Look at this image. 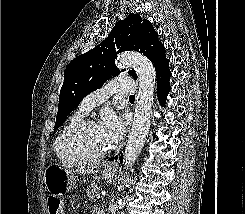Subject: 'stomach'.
<instances>
[{
	"instance_id": "obj_1",
	"label": "stomach",
	"mask_w": 245,
	"mask_h": 214,
	"mask_svg": "<svg viewBox=\"0 0 245 214\" xmlns=\"http://www.w3.org/2000/svg\"><path fill=\"white\" fill-rule=\"evenodd\" d=\"M105 180L116 181L118 172L116 170L105 169L103 171ZM44 183L46 189L55 196L62 195L70 191L76 184V177L73 172L58 165H49L44 172Z\"/></svg>"
}]
</instances>
